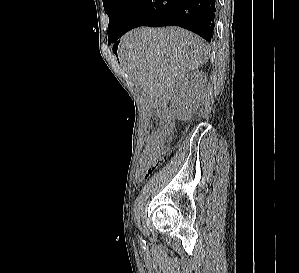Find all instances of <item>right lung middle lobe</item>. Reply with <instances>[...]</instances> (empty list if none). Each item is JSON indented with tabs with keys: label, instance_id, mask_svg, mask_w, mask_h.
Returning <instances> with one entry per match:
<instances>
[{
	"label": "right lung middle lobe",
	"instance_id": "right-lung-middle-lobe-1",
	"mask_svg": "<svg viewBox=\"0 0 299 273\" xmlns=\"http://www.w3.org/2000/svg\"><path fill=\"white\" fill-rule=\"evenodd\" d=\"M134 0H103L109 16L108 44H111Z\"/></svg>",
	"mask_w": 299,
	"mask_h": 273
}]
</instances>
